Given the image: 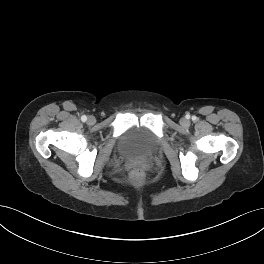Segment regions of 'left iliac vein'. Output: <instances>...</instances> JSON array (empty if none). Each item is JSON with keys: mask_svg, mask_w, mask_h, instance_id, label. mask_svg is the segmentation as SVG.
Returning <instances> with one entry per match:
<instances>
[{"mask_svg": "<svg viewBox=\"0 0 264 264\" xmlns=\"http://www.w3.org/2000/svg\"><path fill=\"white\" fill-rule=\"evenodd\" d=\"M181 124H182L183 126H187V125L189 124V121H188L187 119H182V120H181Z\"/></svg>", "mask_w": 264, "mask_h": 264, "instance_id": "obj_1", "label": "left iliac vein"}]
</instances>
